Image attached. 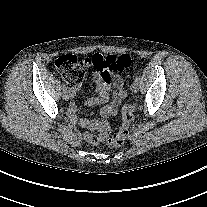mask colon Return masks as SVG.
Wrapping results in <instances>:
<instances>
[{
	"label": "colon",
	"instance_id": "obj_1",
	"mask_svg": "<svg viewBox=\"0 0 207 207\" xmlns=\"http://www.w3.org/2000/svg\"><path fill=\"white\" fill-rule=\"evenodd\" d=\"M134 64H136L135 59L127 54L110 55L105 57L95 55L91 58L84 59H78L73 55H63L54 61L56 70L71 89H76L82 83L86 67H98L103 76L107 77L109 72H120ZM133 118V106L126 104L122 108L123 123L118 133L110 136V127L108 123L105 121H99V135L86 133L84 138L92 145H99L101 142H105L109 147H120L124 144L129 134V128Z\"/></svg>",
	"mask_w": 207,
	"mask_h": 207
}]
</instances>
